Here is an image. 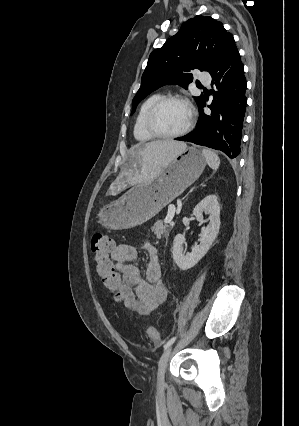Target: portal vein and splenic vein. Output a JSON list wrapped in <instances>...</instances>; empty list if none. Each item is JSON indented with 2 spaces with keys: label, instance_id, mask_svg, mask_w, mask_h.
I'll list each match as a JSON object with an SVG mask.
<instances>
[{
  "label": "portal vein and splenic vein",
  "instance_id": "portal-vein-and-splenic-vein-1",
  "mask_svg": "<svg viewBox=\"0 0 299 426\" xmlns=\"http://www.w3.org/2000/svg\"><path fill=\"white\" fill-rule=\"evenodd\" d=\"M175 210H176V208L173 204L169 205L168 213H167V216L164 220L165 223H170L172 221L174 214H175Z\"/></svg>",
  "mask_w": 299,
  "mask_h": 426
}]
</instances>
